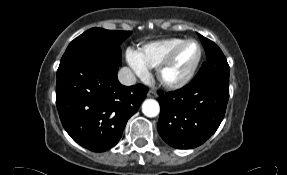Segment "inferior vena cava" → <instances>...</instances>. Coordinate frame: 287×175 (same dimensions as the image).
Wrapping results in <instances>:
<instances>
[{
    "instance_id": "obj_1",
    "label": "inferior vena cava",
    "mask_w": 287,
    "mask_h": 175,
    "mask_svg": "<svg viewBox=\"0 0 287 175\" xmlns=\"http://www.w3.org/2000/svg\"><path fill=\"white\" fill-rule=\"evenodd\" d=\"M118 80L125 86H131L136 83L137 78L129 68L123 67L118 72Z\"/></svg>"
}]
</instances>
